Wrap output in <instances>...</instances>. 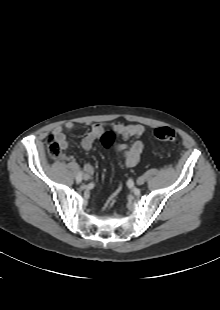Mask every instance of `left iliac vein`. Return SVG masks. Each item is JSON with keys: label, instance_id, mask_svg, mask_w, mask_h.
<instances>
[{"label": "left iliac vein", "instance_id": "4c4485c4", "mask_svg": "<svg viewBox=\"0 0 220 310\" xmlns=\"http://www.w3.org/2000/svg\"><path fill=\"white\" fill-rule=\"evenodd\" d=\"M144 182H145V179H144L143 177H139V178L137 179V184H138V185H142V184H144Z\"/></svg>", "mask_w": 220, "mask_h": 310}]
</instances>
